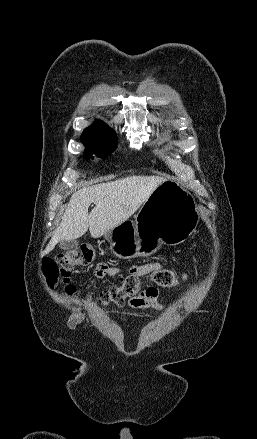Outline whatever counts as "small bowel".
<instances>
[{"mask_svg":"<svg viewBox=\"0 0 257 439\" xmlns=\"http://www.w3.org/2000/svg\"><path fill=\"white\" fill-rule=\"evenodd\" d=\"M165 269L160 262H149L142 265H131L127 267H109L104 263H100L95 268V276L98 279H104L109 277L112 280H116L123 270H126L129 275L135 277L148 276L154 271ZM159 290L156 287L150 286L146 288L140 295L132 297L128 300V306L132 309L149 310V309H161L162 304L158 300Z\"/></svg>","mask_w":257,"mask_h":439,"instance_id":"c3829d8e","label":"small bowel"}]
</instances>
